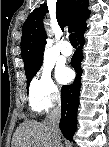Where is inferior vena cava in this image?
Segmentation results:
<instances>
[{
	"instance_id": "obj_1",
	"label": "inferior vena cava",
	"mask_w": 109,
	"mask_h": 147,
	"mask_svg": "<svg viewBox=\"0 0 109 147\" xmlns=\"http://www.w3.org/2000/svg\"><path fill=\"white\" fill-rule=\"evenodd\" d=\"M61 118V107L60 105L54 106L47 114L45 123L48 126L53 147H62L60 140L59 122Z\"/></svg>"
}]
</instances>
